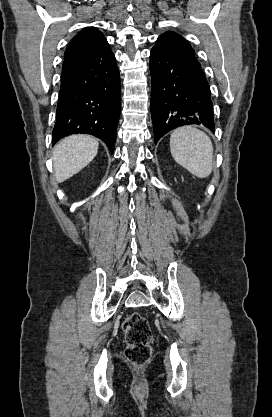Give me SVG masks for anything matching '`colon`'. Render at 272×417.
<instances>
[{
  "mask_svg": "<svg viewBox=\"0 0 272 417\" xmlns=\"http://www.w3.org/2000/svg\"><path fill=\"white\" fill-rule=\"evenodd\" d=\"M123 331L126 360L133 366H143L151 357L152 333L146 318L139 313L129 315L123 323Z\"/></svg>",
  "mask_w": 272,
  "mask_h": 417,
  "instance_id": "colon-1",
  "label": "colon"
}]
</instances>
